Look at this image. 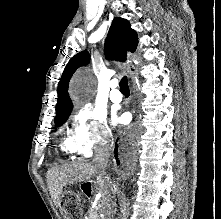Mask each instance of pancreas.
I'll return each mask as SVG.
<instances>
[{
  "instance_id": "obj_1",
  "label": "pancreas",
  "mask_w": 221,
  "mask_h": 219,
  "mask_svg": "<svg viewBox=\"0 0 221 219\" xmlns=\"http://www.w3.org/2000/svg\"><path fill=\"white\" fill-rule=\"evenodd\" d=\"M88 219H100L97 209H90Z\"/></svg>"
}]
</instances>
